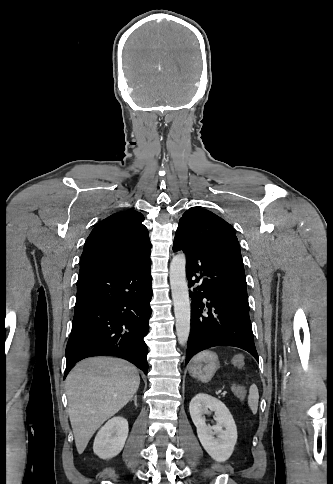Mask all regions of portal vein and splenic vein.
Segmentation results:
<instances>
[{
	"label": "portal vein and splenic vein",
	"mask_w": 333,
	"mask_h": 484,
	"mask_svg": "<svg viewBox=\"0 0 333 484\" xmlns=\"http://www.w3.org/2000/svg\"><path fill=\"white\" fill-rule=\"evenodd\" d=\"M220 391L222 392V395L225 396L228 392L225 391L223 388L220 389Z\"/></svg>",
	"instance_id": "1"
}]
</instances>
